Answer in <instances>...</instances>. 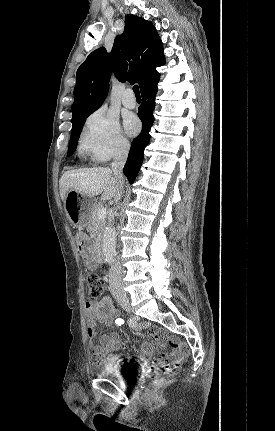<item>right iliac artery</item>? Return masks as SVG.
<instances>
[{
  "mask_svg": "<svg viewBox=\"0 0 275 431\" xmlns=\"http://www.w3.org/2000/svg\"><path fill=\"white\" fill-rule=\"evenodd\" d=\"M128 324H129L130 327L135 328L137 326V321L134 318H130L128 320Z\"/></svg>",
  "mask_w": 275,
  "mask_h": 431,
  "instance_id": "right-iliac-artery-1",
  "label": "right iliac artery"
}]
</instances>
